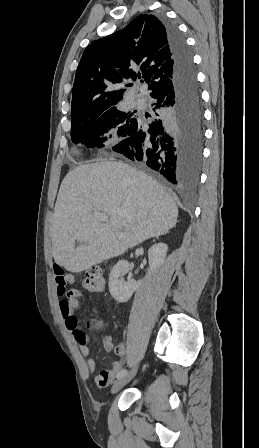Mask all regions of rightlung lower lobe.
<instances>
[{"mask_svg":"<svg viewBox=\"0 0 259 448\" xmlns=\"http://www.w3.org/2000/svg\"><path fill=\"white\" fill-rule=\"evenodd\" d=\"M173 61L171 88L154 100L151 122L141 116L126 129L112 150L146 163L176 186H193L202 163L203 111L192 54L177 27L165 19Z\"/></svg>","mask_w":259,"mask_h":448,"instance_id":"obj_1","label":"right lung lower lobe"}]
</instances>
